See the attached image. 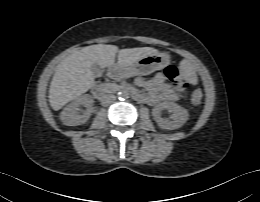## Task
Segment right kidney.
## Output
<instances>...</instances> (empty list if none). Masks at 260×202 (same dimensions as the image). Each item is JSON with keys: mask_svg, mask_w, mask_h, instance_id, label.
I'll return each mask as SVG.
<instances>
[{"mask_svg": "<svg viewBox=\"0 0 260 202\" xmlns=\"http://www.w3.org/2000/svg\"><path fill=\"white\" fill-rule=\"evenodd\" d=\"M92 104L93 99L89 94L77 97L61 112V121L67 126H77L85 123L91 115ZM81 106L86 107V110H81Z\"/></svg>", "mask_w": 260, "mask_h": 202, "instance_id": "right-kidney-1", "label": "right kidney"}]
</instances>
